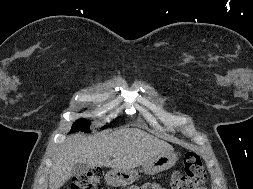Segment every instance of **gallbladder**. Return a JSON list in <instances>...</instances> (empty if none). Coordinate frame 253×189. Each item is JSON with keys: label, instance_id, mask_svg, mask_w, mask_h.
<instances>
[{"label": "gallbladder", "instance_id": "obj_1", "mask_svg": "<svg viewBox=\"0 0 253 189\" xmlns=\"http://www.w3.org/2000/svg\"><path fill=\"white\" fill-rule=\"evenodd\" d=\"M90 166L84 163H76L73 166L72 169V175L73 176H80L82 174H85L89 171Z\"/></svg>", "mask_w": 253, "mask_h": 189}]
</instances>
